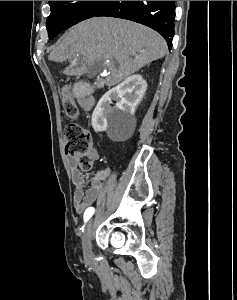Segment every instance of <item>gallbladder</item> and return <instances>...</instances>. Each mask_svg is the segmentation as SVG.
<instances>
[{"mask_svg":"<svg viewBox=\"0 0 237 300\" xmlns=\"http://www.w3.org/2000/svg\"><path fill=\"white\" fill-rule=\"evenodd\" d=\"M89 73V71H88ZM94 86V85H93ZM96 86V85H95ZM74 91V90H73ZM93 91H96V90H93ZM75 92L77 94H89L91 92V89L89 87H86L85 84H80L79 87H77L75 89ZM78 96H82V95H78Z\"/></svg>","mask_w":237,"mask_h":300,"instance_id":"bac80fb5","label":"gallbladder"}]
</instances>
